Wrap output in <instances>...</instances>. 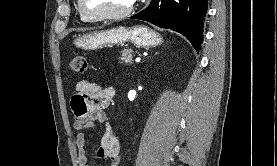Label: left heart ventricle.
<instances>
[{
	"label": "left heart ventricle",
	"mask_w": 277,
	"mask_h": 166,
	"mask_svg": "<svg viewBox=\"0 0 277 166\" xmlns=\"http://www.w3.org/2000/svg\"><path fill=\"white\" fill-rule=\"evenodd\" d=\"M133 0H84V7L92 13H116L129 7Z\"/></svg>",
	"instance_id": "obj_1"
}]
</instances>
